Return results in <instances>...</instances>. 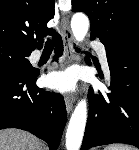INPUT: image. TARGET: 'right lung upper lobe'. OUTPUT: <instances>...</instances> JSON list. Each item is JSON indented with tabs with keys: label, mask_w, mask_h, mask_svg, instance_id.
I'll return each instance as SVG.
<instances>
[{
	"label": "right lung upper lobe",
	"mask_w": 139,
	"mask_h": 150,
	"mask_svg": "<svg viewBox=\"0 0 139 150\" xmlns=\"http://www.w3.org/2000/svg\"><path fill=\"white\" fill-rule=\"evenodd\" d=\"M54 0H0V45L32 52L54 34L47 22L54 17Z\"/></svg>",
	"instance_id": "cb5924a9"
}]
</instances>
